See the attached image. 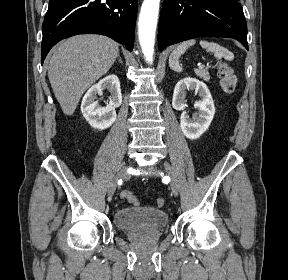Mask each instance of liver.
Listing matches in <instances>:
<instances>
[{"mask_svg": "<svg viewBox=\"0 0 288 280\" xmlns=\"http://www.w3.org/2000/svg\"><path fill=\"white\" fill-rule=\"evenodd\" d=\"M119 44L102 35H77L53 50L48 78L64 114L72 115L84 92L105 75Z\"/></svg>", "mask_w": 288, "mask_h": 280, "instance_id": "6515ba94", "label": "liver"}]
</instances>
